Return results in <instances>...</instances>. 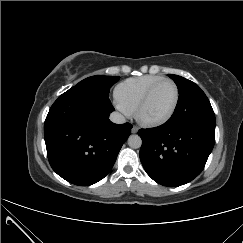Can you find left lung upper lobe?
Masks as SVG:
<instances>
[{"instance_id":"1","label":"left lung upper lobe","mask_w":243,"mask_h":243,"mask_svg":"<svg viewBox=\"0 0 243 243\" xmlns=\"http://www.w3.org/2000/svg\"><path fill=\"white\" fill-rule=\"evenodd\" d=\"M176 83L179 98L171 118L196 124L215 125V114L205 93L194 82L168 74Z\"/></svg>"}]
</instances>
